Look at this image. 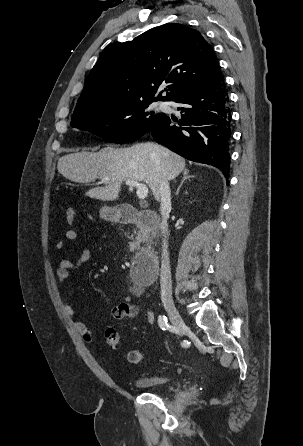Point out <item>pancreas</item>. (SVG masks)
<instances>
[{"label": "pancreas", "instance_id": "1", "mask_svg": "<svg viewBox=\"0 0 303 446\" xmlns=\"http://www.w3.org/2000/svg\"><path fill=\"white\" fill-rule=\"evenodd\" d=\"M134 234L136 237L134 238L133 235L130 237L132 242L129 243V247L132 251L140 249L141 242L145 241L147 234H145L142 230H135Z\"/></svg>", "mask_w": 303, "mask_h": 446}]
</instances>
